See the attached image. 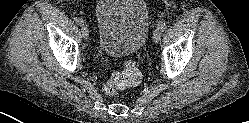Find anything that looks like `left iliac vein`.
<instances>
[{"label":"left iliac vein","mask_w":249,"mask_h":123,"mask_svg":"<svg viewBox=\"0 0 249 123\" xmlns=\"http://www.w3.org/2000/svg\"><path fill=\"white\" fill-rule=\"evenodd\" d=\"M162 32L163 30L159 27H157L155 30H154V33H153V40L154 42H159L161 37H162Z\"/></svg>","instance_id":"obj_1"}]
</instances>
